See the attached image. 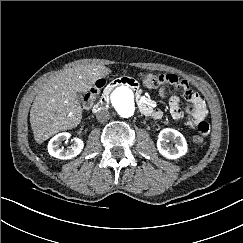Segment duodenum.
I'll return each instance as SVG.
<instances>
[{"label": "duodenum", "instance_id": "duodenum-1", "mask_svg": "<svg viewBox=\"0 0 243 243\" xmlns=\"http://www.w3.org/2000/svg\"><path fill=\"white\" fill-rule=\"evenodd\" d=\"M118 85H126L133 89L134 94H135V99L138 104V107L140 111L147 116H153L155 110L150 106V104L147 102V100L137 92V88L133 80L128 79V78H122L119 80L114 81L112 84H110L105 92L103 93L102 97L100 100L94 105L93 111L94 112H100L101 110L105 109L109 105V94L110 91L113 87L118 86Z\"/></svg>", "mask_w": 243, "mask_h": 243}]
</instances>
